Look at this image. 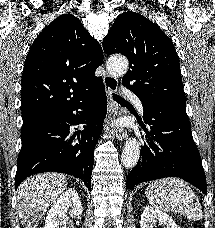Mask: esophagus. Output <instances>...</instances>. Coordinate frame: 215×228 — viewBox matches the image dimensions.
<instances>
[{"instance_id":"1","label":"esophagus","mask_w":215,"mask_h":228,"mask_svg":"<svg viewBox=\"0 0 215 228\" xmlns=\"http://www.w3.org/2000/svg\"><path fill=\"white\" fill-rule=\"evenodd\" d=\"M103 81H104L105 90L109 101L110 117L117 118V117L123 116V111L118 106H116L115 102L112 100V97H111L112 93L114 94V93H117L118 91L119 84H118L117 78L106 73L103 76ZM115 133L118 140H124L128 136L127 130H125L124 128L116 129Z\"/></svg>"}]
</instances>
